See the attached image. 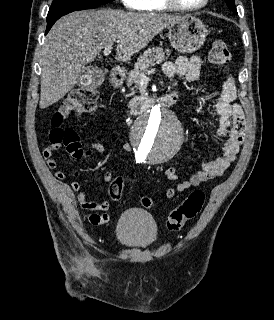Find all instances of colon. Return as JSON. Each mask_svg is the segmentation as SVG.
Here are the masks:
<instances>
[{
	"label": "colon",
	"mask_w": 274,
	"mask_h": 320,
	"mask_svg": "<svg viewBox=\"0 0 274 320\" xmlns=\"http://www.w3.org/2000/svg\"><path fill=\"white\" fill-rule=\"evenodd\" d=\"M209 61L212 65L225 68L231 64V51L224 41L214 42L210 48ZM98 92L89 88H77L69 92L63 105H61L50 118L49 143H58L71 153L81 154L84 145L77 131L64 127L72 111L85 114L94 110L98 101ZM123 179L121 176L118 178ZM110 193H121L124 182H107ZM146 201V200H145ZM205 202V193L202 190H192L189 196L177 205L169 214L167 227L171 231H178L185 222L194 219L201 211ZM152 205V203H150Z\"/></svg>",
	"instance_id": "1"
}]
</instances>
